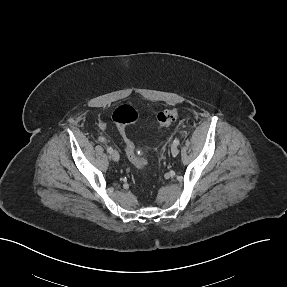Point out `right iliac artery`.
Here are the masks:
<instances>
[{
	"instance_id": "obj_1",
	"label": "right iliac artery",
	"mask_w": 287,
	"mask_h": 287,
	"mask_svg": "<svg viewBox=\"0 0 287 287\" xmlns=\"http://www.w3.org/2000/svg\"><path fill=\"white\" fill-rule=\"evenodd\" d=\"M107 152L111 154L113 152V149L111 147H108Z\"/></svg>"
}]
</instances>
